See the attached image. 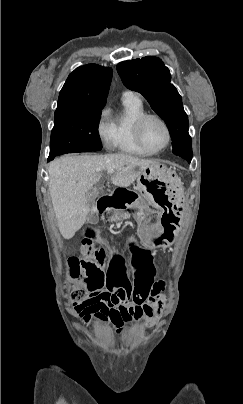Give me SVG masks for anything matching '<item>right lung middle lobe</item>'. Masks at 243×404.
Returning <instances> with one entry per match:
<instances>
[{
	"mask_svg": "<svg viewBox=\"0 0 243 404\" xmlns=\"http://www.w3.org/2000/svg\"><path fill=\"white\" fill-rule=\"evenodd\" d=\"M101 108H64L55 111L48 161L73 152L102 149L98 133Z\"/></svg>",
	"mask_w": 243,
	"mask_h": 404,
	"instance_id": "right-lung-middle-lobe-1",
	"label": "right lung middle lobe"
}]
</instances>
